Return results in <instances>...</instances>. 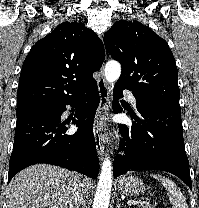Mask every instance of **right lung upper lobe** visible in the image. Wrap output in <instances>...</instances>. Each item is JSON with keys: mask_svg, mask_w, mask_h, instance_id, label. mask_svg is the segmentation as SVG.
Wrapping results in <instances>:
<instances>
[{"mask_svg": "<svg viewBox=\"0 0 199 208\" xmlns=\"http://www.w3.org/2000/svg\"><path fill=\"white\" fill-rule=\"evenodd\" d=\"M105 58L102 41L83 23L63 22L39 40L25 58L17 109L49 106L77 96L95 83Z\"/></svg>", "mask_w": 199, "mask_h": 208, "instance_id": "cb5924a9", "label": "right lung upper lobe"}]
</instances>
